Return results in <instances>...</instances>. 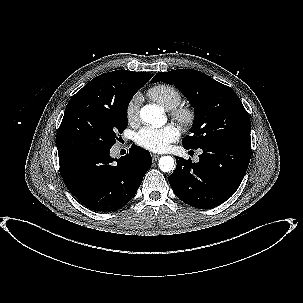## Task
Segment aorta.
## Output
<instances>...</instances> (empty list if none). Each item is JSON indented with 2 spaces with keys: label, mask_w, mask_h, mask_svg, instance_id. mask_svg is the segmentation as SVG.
Instances as JSON below:
<instances>
[{
  "label": "aorta",
  "mask_w": 303,
  "mask_h": 303,
  "mask_svg": "<svg viewBox=\"0 0 303 303\" xmlns=\"http://www.w3.org/2000/svg\"><path fill=\"white\" fill-rule=\"evenodd\" d=\"M141 119L154 127H160L165 123L162 107L158 105H145L140 111ZM159 168L163 172H170L175 168L174 159L171 156H163L159 160Z\"/></svg>",
  "instance_id": "aorta-1"
}]
</instances>
